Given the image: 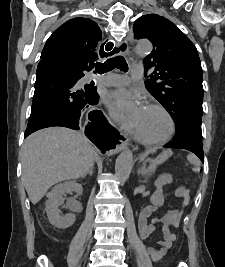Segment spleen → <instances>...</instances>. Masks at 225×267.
Returning a JSON list of instances; mask_svg holds the SVG:
<instances>
[{
  "mask_svg": "<svg viewBox=\"0 0 225 267\" xmlns=\"http://www.w3.org/2000/svg\"><path fill=\"white\" fill-rule=\"evenodd\" d=\"M188 159H189L194 165L199 166V161H198V159H197L194 155L190 154V155L188 156Z\"/></svg>",
  "mask_w": 225,
  "mask_h": 267,
  "instance_id": "3e777b00",
  "label": "spleen"
}]
</instances>
